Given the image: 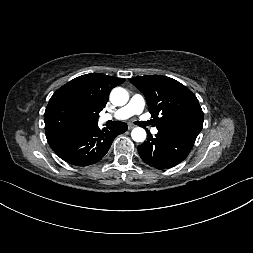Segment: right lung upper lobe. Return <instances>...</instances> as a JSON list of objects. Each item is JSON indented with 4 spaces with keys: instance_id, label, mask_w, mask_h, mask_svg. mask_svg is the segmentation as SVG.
Instances as JSON below:
<instances>
[{
    "instance_id": "cb5924a9",
    "label": "right lung upper lobe",
    "mask_w": 253,
    "mask_h": 253,
    "mask_svg": "<svg viewBox=\"0 0 253 253\" xmlns=\"http://www.w3.org/2000/svg\"><path fill=\"white\" fill-rule=\"evenodd\" d=\"M124 78L101 73L79 76L59 88L51 98L67 97L80 106L97 123L99 112L105 107L110 91L122 84Z\"/></svg>"
}]
</instances>
